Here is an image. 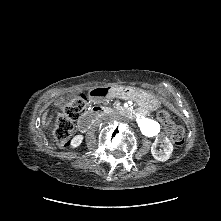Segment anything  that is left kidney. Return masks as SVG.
I'll use <instances>...</instances> for the list:
<instances>
[{
  "mask_svg": "<svg viewBox=\"0 0 221 221\" xmlns=\"http://www.w3.org/2000/svg\"><path fill=\"white\" fill-rule=\"evenodd\" d=\"M161 143L163 149H158V144ZM173 152V145L167 137L155 140L151 146L152 156L161 162L167 161Z\"/></svg>",
  "mask_w": 221,
  "mask_h": 221,
  "instance_id": "5707ae66",
  "label": "left kidney"
}]
</instances>
